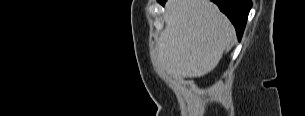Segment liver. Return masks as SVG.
<instances>
[{"instance_id": "liver-1", "label": "liver", "mask_w": 305, "mask_h": 116, "mask_svg": "<svg viewBox=\"0 0 305 116\" xmlns=\"http://www.w3.org/2000/svg\"><path fill=\"white\" fill-rule=\"evenodd\" d=\"M158 63L173 78L211 72L234 37L228 18L210 0H168Z\"/></svg>"}]
</instances>
